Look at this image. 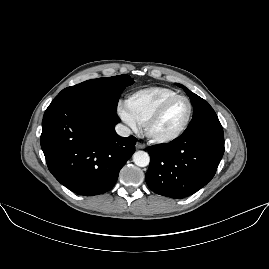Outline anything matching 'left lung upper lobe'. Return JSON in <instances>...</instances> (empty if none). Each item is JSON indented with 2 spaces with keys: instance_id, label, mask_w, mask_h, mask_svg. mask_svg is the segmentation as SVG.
<instances>
[{
  "instance_id": "left-lung-upper-lobe-1",
  "label": "left lung upper lobe",
  "mask_w": 269,
  "mask_h": 269,
  "mask_svg": "<svg viewBox=\"0 0 269 269\" xmlns=\"http://www.w3.org/2000/svg\"><path fill=\"white\" fill-rule=\"evenodd\" d=\"M176 85L181 87L187 93L194 107L192 120L182 135L195 133L207 128L222 127L215 111L208 102L191 92L185 86L179 83Z\"/></svg>"
}]
</instances>
